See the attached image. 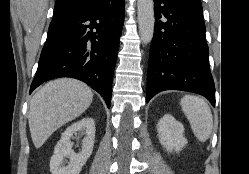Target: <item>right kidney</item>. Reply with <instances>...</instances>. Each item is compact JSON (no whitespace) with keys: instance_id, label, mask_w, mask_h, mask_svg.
I'll return each mask as SVG.
<instances>
[{"instance_id":"obj_1","label":"right kidney","mask_w":249,"mask_h":174,"mask_svg":"<svg viewBox=\"0 0 249 174\" xmlns=\"http://www.w3.org/2000/svg\"><path fill=\"white\" fill-rule=\"evenodd\" d=\"M80 132L86 137L82 142L80 153H75L72 149L71 137ZM95 141V121L86 117L70 125L62 134L61 139L54 148V154L50 160V171L52 174H79L82 167L93 151ZM65 158H69L68 165L65 166Z\"/></svg>"}]
</instances>
